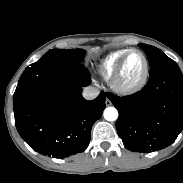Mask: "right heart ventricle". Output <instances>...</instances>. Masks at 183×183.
<instances>
[{
    "mask_svg": "<svg viewBox=\"0 0 183 183\" xmlns=\"http://www.w3.org/2000/svg\"><path fill=\"white\" fill-rule=\"evenodd\" d=\"M127 51H128L127 49H122L108 54L100 63L99 66L100 73L105 78H110L115 68L117 67L119 61L126 54Z\"/></svg>",
    "mask_w": 183,
    "mask_h": 183,
    "instance_id": "obj_1",
    "label": "right heart ventricle"
}]
</instances>
